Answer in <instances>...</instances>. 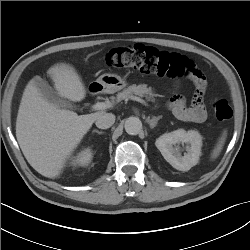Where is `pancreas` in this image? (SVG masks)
I'll return each instance as SVG.
<instances>
[{
    "label": "pancreas",
    "mask_w": 250,
    "mask_h": 250,
    "mask_svg": "<svg viewBox=\"0 0 250 250\" xmlns=\"http://www.w3.org/2000/svg\"><path fill=\"white\" fill-rule=\"evenodd\" d=\"M138 95V96H145L148 101L155 102V96L156 94L153 92L151 87H147L146 84H140V85H131L124 89L122 92H119L116 96V99L118 102L126 99L127 97L131 95Z\"/></svg>",
    "instance_id": "obj_1"
}]
</instances>
